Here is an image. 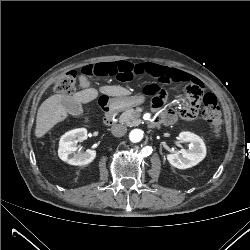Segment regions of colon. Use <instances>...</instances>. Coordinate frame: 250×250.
Returning a JSON list of instances; mask_svg holds the SVG:
<instances>
[{
	"instance_id": "1",
	"label": "colon",
	"mask_w": 250,
	"mask_h": 250,
	"mask_svg": "<svg viewBox=\"0 0 250 250\" xmlns=\"http://www.w3.org/2000/svg\"><path fill=\"white\" fill-rule=\"evenodd\" d=\"M146 72L142 65H134L128 62L99 63L89 65L84 68L83 73L86 76L111 77L119 81H128L138 73ZM76 88V73L74 71L66 72L60 79L54 83V89L59 93H73ZM155 89L151 95L154 98L159 97V91ZM191 95H198V91L187 90ZM203 99V116L209 123L212 135L219 139L222 133V119L218 101L212 93L202 96Z\"/></svg>"
}]
</instances>
